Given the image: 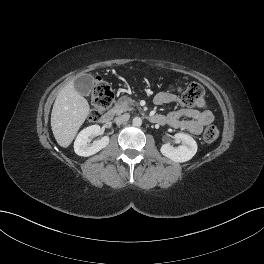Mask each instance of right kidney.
Returning a JSON list of instances; mask_svg holds the SVG:
<instances>
[{"instance_id": "right-kidney-1", "label": "right kidney", "mask_w": 264, "mask_h": 264, "mask_svg": "<svg viewBox=\"0 0 264 264\" xmlns=\"http://www.w3.org/2000/svg\"><path fill=\"white\" fill-rule=\"evenodd\" d=\"M101 128L99 125H91L83 129L76 137L74 142V151L79 156L88 157L96 154L109 144V137L104 136L100 140L89 144L90 137L99 135Z\"/></svg>"}]
</instances>
